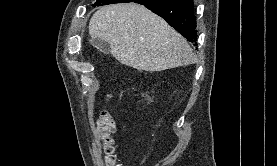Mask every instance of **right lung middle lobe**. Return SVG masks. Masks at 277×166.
<instances>
[{"mask_svg":"<svg viewBox=\"0 0 277 166\" xmlns=\"http://www.w3.org/2000/svg\"><path fill=\"white\" fill-rule=\"evenodd\" d=\"M113 0H97V2L95 3V5L100 6V5H107L112 3ZM93 5V6H95Z\"/></svg>","mask_w":277,"mask_h":166,"instance_id":"dd1d6c3e","label":"right lung middle lobe"}]
</instances>
